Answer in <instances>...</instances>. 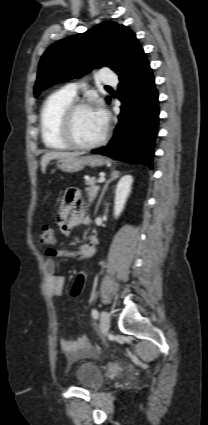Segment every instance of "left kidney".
<instances>
[{
	"label": "left kidney",
	"mask_w": 208,
	"mask_h": 425,
	"mask_svg": "<svg viewBox=\"0 0 208 425\" xmlns=\"http://www.w3.org/2000/svg\"><path fill=\"white\" fill-rule=\"evenodd\" d=\"M133 177L131 175L123 176L116 185L114 217L118 218L124 209L127 198L131 193Z\"/></svg>",
	"instance_id": "5707ae66"
}]
</instances>
